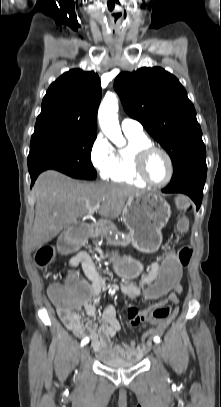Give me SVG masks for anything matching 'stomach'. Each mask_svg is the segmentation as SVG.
<instances>
[{
  "label": "stomach",
  "mask_w": 221,
  "mask_h": 407,
  "mask_svg": "<svg viewBox=\"0 0 221 407\" xmlns=\"http://www.w3.org/2000/svg\"><path fill=\"white\" fill-rule=\"evenodd\" d=\"M171 215L166 200L152 192H140L128 197L122 212V218L129 229L134 248L144 253H152L162 243L161 230ZM117 267L123 276L131 278L141 269L140 264L124 257L117 261Z\"/></svg>",
  "instance_id": "obj_1"
}]
</instances>
